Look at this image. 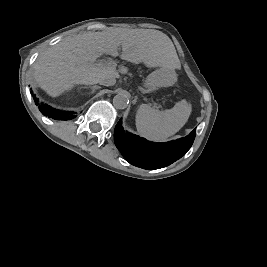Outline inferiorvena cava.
Here are the masks:
<instances>
[{
    "label": "inferior vena cava",
    "mask_w": 267,
    "mask_h": 267,
    "mask_svg": "<svg viewBox=\"0 0 267 267\" xmlns=\"http://www.w3.org/2000/svg\"><path fill=\"white\" fill-rule=\"evenodd\" d=\"M98 83L104 86H113L116 83V79L111 76H104L101 79H99Z\"/></svg>",
    "instance_id": "inferior-vena-cava-1"
}]
</instances>
